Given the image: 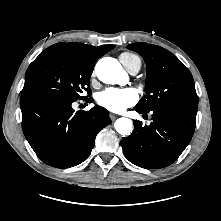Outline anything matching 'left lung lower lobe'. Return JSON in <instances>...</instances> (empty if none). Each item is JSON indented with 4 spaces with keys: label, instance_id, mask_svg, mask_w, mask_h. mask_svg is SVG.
<instances>
[{
    "label": "left lung lower lobe",
    "instance_id": "0a47b994",
    "mask_svg": "<svg viewBox=\"0 0 221 221\" xmlns=\"http://www.w3.org/2000/svg\"><path fill=\"white\" fill-rule=\"evenodd\" d=\"M151 113V124L143 126L141 121L135 120L134 131L120 144L125 157L133 164L145 169H159L172 164L189 144L197 111L160 107Z\"/></svg>",
    "mask_w": 221,
    "mask_h": 221
}]
</instances>
